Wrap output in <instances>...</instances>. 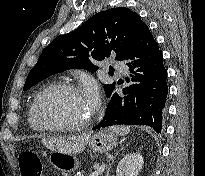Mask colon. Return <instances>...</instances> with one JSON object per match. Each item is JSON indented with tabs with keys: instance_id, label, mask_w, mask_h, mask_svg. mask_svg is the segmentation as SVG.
<instances>
[{
	"instance_id": "5ec220e1",
	"label": "colon",
	"mask_w": 205,
	"mask_h": 176,
	"mask_svg": "<svg viewBox=\"0 0 205 176\" xmlns=\"http://www.w3.org/2000/svg\"><path fill=\"white\" fill-rule=\"evenodd\" d=\"M21 176H42L43 164L40 158L31 152H22L18 156Z\"/></svg>"
}]
</instances>
